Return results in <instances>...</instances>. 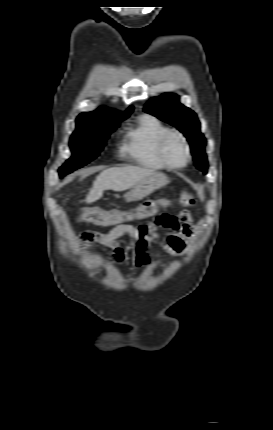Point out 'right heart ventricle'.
Wrapping results in <instances>:
<instances>
[{
	"label": "right heart ventricle",
	"mask_w": 273,
	"mask_h": 430,
	"mask_svg": "<svg viewBox=\"0 0 273 430\" xmlns=\"http://www.w3.org/2000/svg\"><path fill=\"white\" fill-rule=\"evenodd\" d=\"M169 130L157 117L142 115L125 132L122 153L142 167L165 169L167 166L158 155V143Z\"/></svg>",
	"instance_id": "right-heart-ventricle-1"
}]
</instances>
